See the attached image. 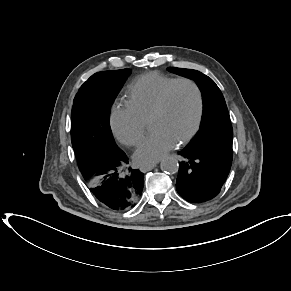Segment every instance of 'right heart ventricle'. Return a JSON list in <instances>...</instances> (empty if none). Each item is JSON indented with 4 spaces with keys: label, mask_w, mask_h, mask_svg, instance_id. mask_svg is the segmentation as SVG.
<instances>
[{
    "label": "right heart ventricle",
    "mask_w": 291,
    "mask_h": 291,
    "mask_svg": "<svg viewBox=\"0 0 291 291\" xmlns=\"http://www.w3.org/2000/svg\"><path fill=\"white\" fill-rule=\"evenodd\" d=\"M174 80V77L157 72L144 74L130 86L126 103L144 122H147L163 91Z\"/></svg>",
    "instance_id": "e07e8e85"
}]
</instances>
